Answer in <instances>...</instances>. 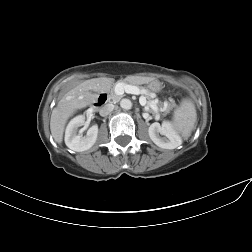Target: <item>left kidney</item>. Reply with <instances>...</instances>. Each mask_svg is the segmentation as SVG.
I'll use <instances>...</instances> for the list:
<instances>
[{"mask_svg": "<svg viewBox=\"0 0 252 252\" xmlns=\"http://www.w3.org/2000/svg\"><path fill=\"white\" fill-rule=\"evenodd\" d=\"M150 139L164 149H175L182 144L178 135L170 122L164 121L162 125L158 122L152 123L148 129Z\"/></svg>", "mask_w": 252, "mask_h": 252, "instance_id": "5707ae66", "label": "left kidney"}]
</instances>
